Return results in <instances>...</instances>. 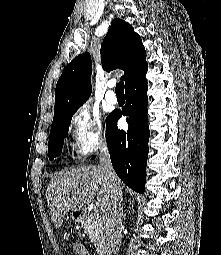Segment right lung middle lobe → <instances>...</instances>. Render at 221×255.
Segmentation results:
<instances>
[{"instance_id": "obj_1", "label": "right lung middle lobe", "mask_w": 221, "mask_h": 255, "mask_svg": "<svg viewBox=\"0 0 221 255\" xmlns=\"http://www.w3.org/2000/svg\"><path fill=\"white\" fill-rule=\"evenodd\" d=\"M74 113L75 111H71L57 117L56 126L50 131L49 137L48 154L50 160H53L61 154L64 138L68 133L69 125Z\"/></svg>"}]
</instances>
